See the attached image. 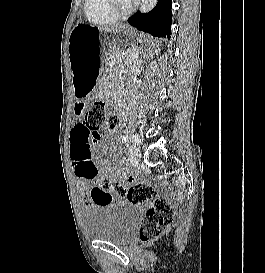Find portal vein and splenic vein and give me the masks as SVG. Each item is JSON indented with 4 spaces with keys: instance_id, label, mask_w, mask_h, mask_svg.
<instances>
[{
    "instance_id": "18ae733b",
    "label": "portal vein and splenic vein",
    "mask_w": 265,
    "mask_h": 273,
    "mask_svg": "<svg viewBox=\"0 0 265 273\" xmlns=\"http://www.w3.org/2000/svg\"><path fill=\"white\" fill-rule=\"evenodd\" d=\"M137 56H138V54L132 53V57H137Z\"/></svg>"
}]
</instances>
